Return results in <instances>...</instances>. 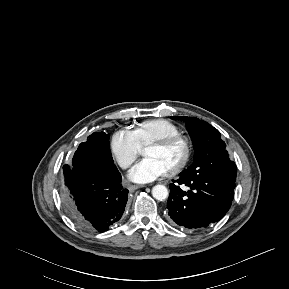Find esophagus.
Instances as JSON below:
<instances>
[{"mask_svg": "<svg viewBox=\"0 0 289 289\" xmlns=\"http://www.w3.org/2000/svg\"><path fill=\"white\" fill-rule=\"evenodd\" d=\"M140 187H142V186H140V185H129L128 189H129L130 191H134V190H136V189H138V188H140Z\"/></svg>", "mask_w": 289, "mask_h": 289, "instance_id": "34e87169", "label": "esophagus"}]
</instances>
